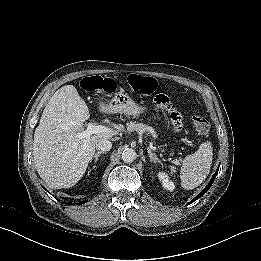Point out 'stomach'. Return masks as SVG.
Here are the masks:
<instances>
[{"instance_id":"1","label":"stomach","mask_w":261,"mask_h":261,"mask_svg":"<svg viewBox=\"0 0 261 261\" xmlns=\"http://www.w3.org/2000/svg\"><path fill=\"white\" fill-rule=\"evenodd\" d=\"M109 108L128 116L138 117L145 112V107L135 103L124 93L117 94L109 103Z\"/></svg>"}]
</instances>
